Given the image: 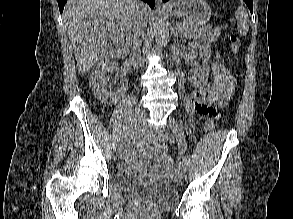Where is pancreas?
Listing matches in <instances>:
<instances>
[{
    "label": "pancreas",
    "instance_id": "1",
    "mask_svg": "<svg viewBox=\"0 0 293 219\" xmlns=\"http://www.w3.org/2000/svg\"><path fill=\"white\" fill-rule=\"evenodd\" d=\"M178 29L186 37L205 43L215 42L221 34L219 30L199 28L192 23H179Z\"/></svg>",
    "mask_w": 293,
    "mask_h": 219
}]
</instances>
